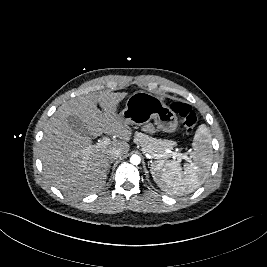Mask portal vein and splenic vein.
Returning a JSON list of instances; mask_svg holds the SVG:
<instances>
[{"mask_svg": "<svg viewBox=\"0 0 267 267\" xmlns=\"http://www.w3.org/2000/svg\"><path fill=\"white\" fill-rule=\"evenodd\" d=\"M111 142V140L108 138V137H104L101 141H99L96 145H93V147H97V146H100V145H107ZM92 148V147H90ZM167 155L169 156H173L174 158H178V159H185L188 161V157L185 155V154H182V153H178V152H174V151H167ZM145 156L147 158H154L152 155H149V154H145Z\"/></svg>", "mask_w": 267, "mask_h": 267, "instance_id": "obj_1", "label": "portal vein and splenic vein"}]
</instances>
